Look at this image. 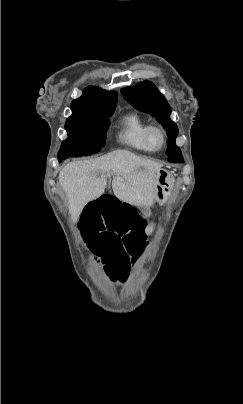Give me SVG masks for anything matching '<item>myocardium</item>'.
Returning <instances> with one entry per match:
<instances>
[{
  "label": "myocardium",
  "instance_id": "1",
  "mask_svg": "<svg viewBox=\"0 0 243 404\" xmlns=\"http://www.w3.org/2000/svg\"><path fill=\"white\" fill-rule=\"evenodd\" d=\"M154 136L157 137V141L154 140ZM146 140L154 147L160 148L164 145L166 135L164 129L157 124H148L145 129Z\"/></svg>",
  "mask_w": 243,
  "mask_h": 404
}]
</instances>
